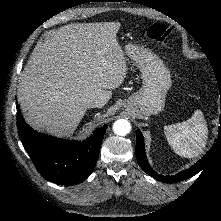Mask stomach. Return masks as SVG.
I'll list each match as a JSON object with an SVG mask.
<instances>
[{
	"label": "stomach",
	"mask_w": 221,
	"mask_h": 221,
	"mask_svg": "<svg viewBox=\"0 0 221 221\" xmlns=\"http://www.w3.org/2000/svg\"><path fill=\"white\" fill-rule=\"evenodd\" d=\"M125 53L135 62L143 80L142 88L129 97L128 108L140 118L161 112L172 85L170 71L157 55L144 47L127 44Z\"/></svg>",
	"instance_id": "obj_1"
}]
</instances>
